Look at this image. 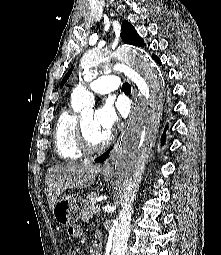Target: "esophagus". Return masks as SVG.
I'll return each instance as SVG.
<instances>
[{"instance_id": "obj_1", "label": "esophagus", "mask_w": 221, "mask_h": 255, "mask_svg": "<svg viewBox=\"0 0 221 255\" xmlns=\"http://www.w3.org/2000/svg\"><path fill=\"white\" fill-rule=\"evenodd\" d=\"M136 96V89H132V98L134 100ZM134 106V101L132 102V108ZM118 145L119 143L117 142L115 145H114V148L111 150V153L108 157V159L105 161L104 165H103V171L104 172H113L114 170V163H115V160H116V155H117V150H118Z\"/></svg>"}]
</instances>
